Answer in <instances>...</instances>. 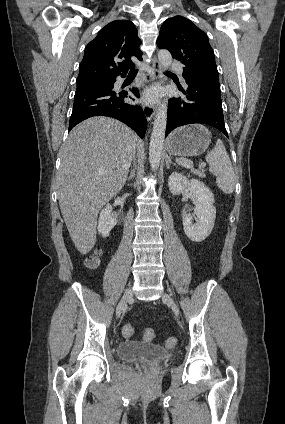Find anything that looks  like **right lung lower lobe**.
<instances>
[{
    "instance_id": "1",
    "label": "right lung lower lobe",
    "mask_w": 285,
    "mask_h": 424,
    "mask_svg": "<svg viewBox=\"0 0 285 424\" xmlns=\"http://www.w3.org/2000/svg\"><path fill=\"white\" fill-rule=\"evenodd\" d=\"M112 85L89 86L76 89L73 111L70 117L69 131L81 121L92 116H108L118 119L131 127L141 138L146 132V117L138 105L124 101L130 97L126 91L115 92ZM138 98L137 89H132ZM131 98V97H130Z\"/></svg>"
}]
</instances>
